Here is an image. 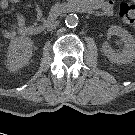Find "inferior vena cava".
<instances>
[{
    "label": "inferior vena cava",
    "instance_id": "inferior-vena-cava-1",
    "mask_svg": "<svg viewBox=\"0 0 135 135\" xmlns=\"http://www.w3.org/2000/svg\"><path fill=\"white\" fill-rule=\"evenodd\" d=\"M58 24H59V21L52 22L47 26V29L52 30V29L56 28L58 26Z\"/></svg>",
    "mask_w": 135,
    "mask_h": 135
}]
</instances>
